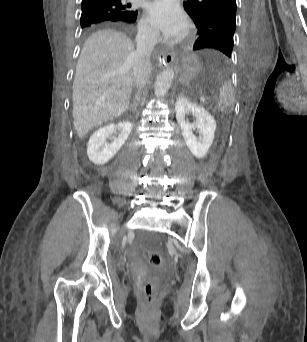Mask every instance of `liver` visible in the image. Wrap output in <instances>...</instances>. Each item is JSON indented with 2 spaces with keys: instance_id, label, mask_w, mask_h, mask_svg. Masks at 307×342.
Returning a JSON list of instances; mask_svg holds the SVG:
<instances>
[{
  "instance_id": "6515ba94",
  "label": "liver",
  "mask_w": 307,
  "mask_h": 342,
  "mask_svg": "<svg viewBox=\"0 0 307 342\" xmlns=\"http://www.w3.org/2000/svg\"><path fill=\"white\" fill-rule=\"evenodd\" d=\"M134 44L122 32L99 30L87 38L73 82V120L82 140L129 108L133 90ZM103 74H111L103 78Z\"/></svg>"
}]
</instances>
